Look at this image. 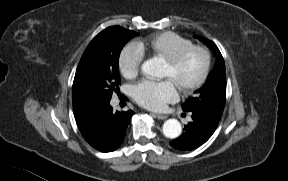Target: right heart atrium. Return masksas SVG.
I'll return each instance as SVG.
<instances>
[{"label": "right heart atrium", "mask_w": 288, "mask_h": 181, "mask_svg": "<svg viewBox=\"0 0 288 181\" xmlns=\"http://www.w3.org/2000/svg\"><path fill=\"white\" fill-rule=\"evenodd\" d=\"M143 62V53L137 45L128 44L120 52L118 57V68L126 79L135 78Z\"/></svg>", "instance_id": "d8ad5b80"}]
</instances>
